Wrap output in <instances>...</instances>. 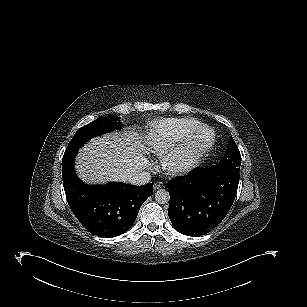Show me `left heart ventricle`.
<instances>
[{
	"instance_id": "obj_1",
	"label": "left heart ventricle",
	"mask_w": 307,
	"mask_h": 307,
	"mask_svg": "<svg viewBox=\"0 0 307 307\" xmlns=\"http://www.w3.org/2000/svg\"><path fill=\"white\" fill-rule=\"evenodd\" d=\"M209 138H210V133L207 130H204L200 135V141L202 142L207 141ZM191 153H192L191 147L185 148L180 152L178 158L187 159L191 156Z\"/></svg>"
}]
</instances>
